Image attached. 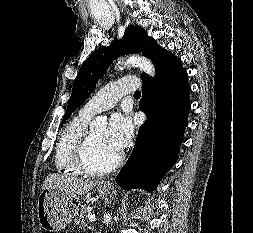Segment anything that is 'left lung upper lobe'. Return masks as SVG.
I'll return each instance as SVG.
<instances>
[{
    "label": "left lung upper lobe",
    "mask_w": 253,
    "mask_h": 233,
    "mask_svg": "<svg viewBox=\"0 0 253 233\" xmlns=\"http://www.w3.org/2000/svg\"><path fill=\"white\" fill-rule=\"evenodd\" d=\"M163 50L165 49L161 48L153 38L149 37L140 26L129 25L121 40L115 39L109 47H103L92 53L82 64L74 81L72 95L62 123L89 97L108 66L119 56L130 53H142L143 56L151 59L152 63H154Z\"/></svg>",
    "instance_id": "left-lung-upper-lobe-1"
}]
</instances>
